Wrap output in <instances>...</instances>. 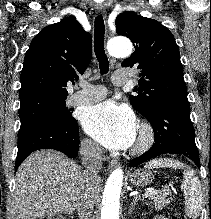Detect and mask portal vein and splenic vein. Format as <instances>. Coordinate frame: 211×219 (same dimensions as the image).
<instances>
[{"label":"portal vein and splenic vein","instance_id":"1","mask_svg":"<svg viewBox=\"0 0 211 219\" xmlns=\"http://www.w3.org/2000/svg\"><path fill=\"white\" fill-rule=\"evenodd\" d=\"M157 193V190H154V189H150V190H147L144 194H143V197H148V196H151L152 194H155Z\"/></svg>","mask_w":211,"mask_h":219}]
</instances>
